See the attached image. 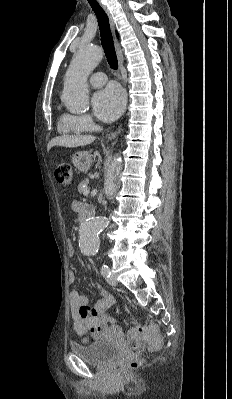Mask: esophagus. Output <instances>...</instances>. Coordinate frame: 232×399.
Instances as JSON below:
<instances>
[{"label": "esophagus", "mask_w": 232, "mask_h": 399, "mask_svg": "<svg viewBox=\"0 0 232 399\" xmlns=\"http://www.w3.org/2000/svg\"><path fill=\"white\" fill-rule=\"evenodd\" d=\"M97 2L101 5V7L105 11L106 15L108 16L109 24H110L112 33L114 35L115 52L117 54V60L119 62V68H121V66L123 65L124 57H123V52H122L121 46H120V44H119V42H118V40L116 38V35H115V22H114V20L112 18V15H111L110 11L108 10L107 6L102 3V0H97ZM121 128H122V126L120 125L116 132L111 133V134L108 135L107 139L108 140L114 139L120 133Z\"/></svg>", "instance_id": "obj_1"}]
</instances>
